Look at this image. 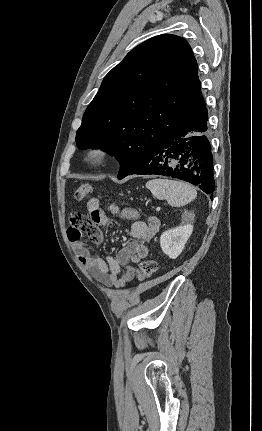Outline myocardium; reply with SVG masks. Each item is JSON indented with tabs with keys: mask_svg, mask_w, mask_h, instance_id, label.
Here are the masks:
<instances>
[{
	"mask_svg": "<svg viewBox=\"0 0 262 431\" xmlns=\"http://www.w3.org/2000/svg\"><path fill=\"white\" fill-rule=\"evenodd\" d=\"M108 149L102 145L90 147L86 152V161L92 167H99L109 158Z\"/></svg>",
	"mask_w": 262,
	"mask_h": 431,
	"instance_id": "1",
	"label": "myocardium"
}]
</instances>
